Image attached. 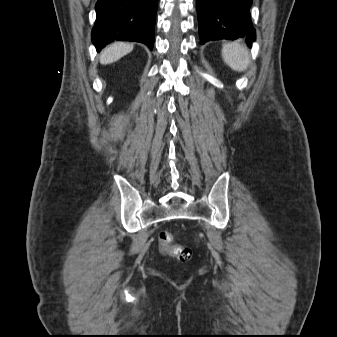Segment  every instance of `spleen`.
Listing matches in <instances>:
<instances>
[{
	"mask_svg": "<svg viewBox=\"0 0 337 337\" xmlns=\"http://www.w3.org/2000/svg\"><path fill=\"white\" fill-rule=\"evenodd\" d=\"M223 61L234 71H245L250 64L247 49L238 42L225 43L222 46Z\"/></svg>",
	"mask_w": 337,
	"mask_h": 337,
	"instance_id": "spleen-1",
	"label": "spleen"
}]
</instances>
